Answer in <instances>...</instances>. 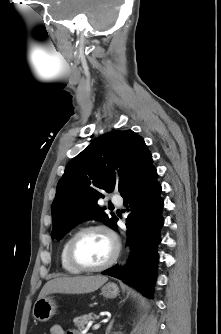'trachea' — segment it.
I'll return each mask as SVG.
<instances>
[{
	"label": "trachea",
	"mask_w": 221,
	"mask_h": 334,
	"mask_svg": "<svg viewBox=\"0 0 221 334\" xmlns=\"http://www.w3.org/2000/svg\"><path fill=\"white\" fill-rule=\"evenodd\" d=\"M111 208H114V206L112 205V206H110Z\"/></svg>",
	"instance_id": "trachea-1"
}]
</instances>
